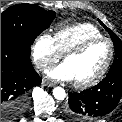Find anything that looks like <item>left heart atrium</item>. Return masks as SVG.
Returning <instances> with one entry per match:
<instances>
[{"mask_svg":"<svg viewBox=\"0 0 122 122\" xmlns=\"http://www.w3.org/2000/svg\"><path fill=\"white\" fill-rule=\"evenodd\" d=\"M48 77L58 81H72V76L69 68L65 63L58 65L57 67L47 72Z\"/></svg>","mask_w":122,"mask_h":122,"instance_id":"left-heart-atrium-1","label":"left heart atrium"}]
</instances>
